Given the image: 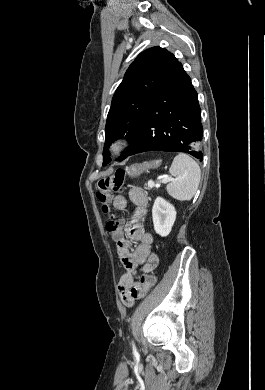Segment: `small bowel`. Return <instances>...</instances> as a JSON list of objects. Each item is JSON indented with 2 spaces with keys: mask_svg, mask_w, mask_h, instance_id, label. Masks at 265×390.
<instances>
[{
  "mask_svg": "<svg viewBox=\"0 0 265 390\" xmlns=\"http://www.w3.org/2000/svg\"><path fill=\"white\" fill-rule=\"evenodd\" d=\"M129 198L135 206L134 217L123 228L121 238L116 240L118 255L126 269L120 276L118 290L122 302L127 307H131L143 296L141 283L138 281L139 273L151 272L159 263L157 255L151 251L153 237L145 231L141 223L148 205V197L142 190L133 188L129 192ZM127 203V198L123 195L113 198V206L118 210L125 209ZM132 243H137L133 251Z\"/></svg>",
  "mask_w": 265,
  "mask_h": 390,
  "instance_id": "small-bowel-1",
  "label": "small bowel"
}]
</instances>
